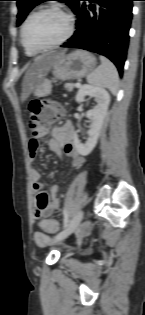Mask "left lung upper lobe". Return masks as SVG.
<instances>
[{"mask_svg": "<svg viewBox=\"0 0 145 315\" xmlns=\"http://www.w3.org/2000/svg\"><path fill=\"white\" fill-rule=\"evenodd\" d=\"M16 1H17V7L19 10L18 15H17V18H18L17 25H20L34 6L38 5L39 3L50 1V0H16ZM55 1L66 2L70 6V8L74 11L79 0H55Z\"/></svg>", "mask_w": 145, "mask_h": 315, "instance_id": "5c2ea615", "label": "left lung upper lobe"}]
</instances>
